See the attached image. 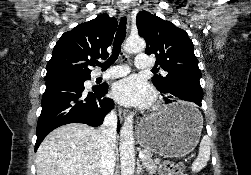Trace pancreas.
Masks as SVG:
<instances>
[{
  "instance_id": "obj_1",
  "label": "pancreas",
  "mask_w": 251,
  "mask_h": 175,
  "mask_svg": "<svg viewBox=\"0 0 251 175\" xmlns=\"http://www.w3.org/2000/svg\"><path fill=\"white\" fill-rule=\"evenodd\" d=\"M142 153H145V157H142V163L146 169V171H149L150 175H153V173H156L157 165L160 163L161 159L159 157H155V159H152L153 153H150V151H142Z\"/></svg>"
}]
</instances>
